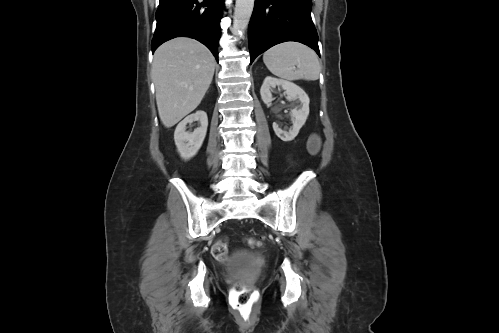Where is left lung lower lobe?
Listing matches in <instances>:
<instances>
[{
	"label": "left lung lower lobe",
	"instance_id": "left-lung-lower-lobe-1",
	"mask_svg": "<svg viewBox=\"0 0 499 333\" xmlns=\"http://www.w3.org/2000/svg\"><path fill=\"white\" fill-rule=\"evenodd\" d=\"M311 8L312 0H255L248 27L250 64L270 47L286 41L303 43L320 56Z\"/></svg>",
	"mask_w": 499,
	"mask_h": 333
}]
</instances>
